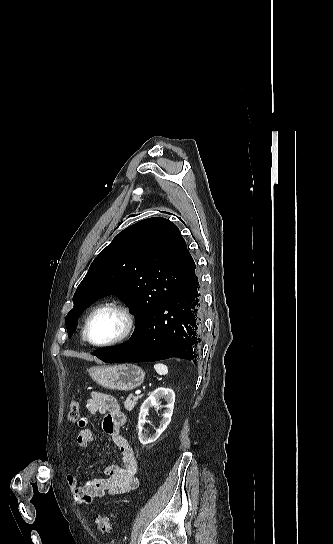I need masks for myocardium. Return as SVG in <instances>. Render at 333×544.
I'll return each instance as SVG.
<instances>
[{
  "instance_id": "1",
  "label": "myocardium",
  "mask_w": 333,
  "mask_h": 544,
  "mask_svg": "<svg viewBox=\"0 0 333 544\" xmlns=\"http://www.w3.org/2000/svg\"><path fill=\"white\" fill-rule=\"evenodd\" d=\"M106 308H112L120 313L124 321L123 329L117 337H115L114 339L110 341L101 342V343L93 342L89 338V335H88V328H89L90 321L97 312ZM135 326H136L135 316L126 303H124L123 301L119 299H107L97 304L86 317L84 327H83V338L87 343H89L90 345L94 347H98V348L111 347V346L120 344L123 341H125L127 338H129L134 332Z\"/></svg>"
}]
</instances>
